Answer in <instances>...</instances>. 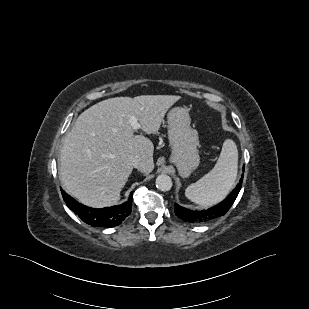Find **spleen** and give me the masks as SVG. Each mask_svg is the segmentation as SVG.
I'll use <instances>...</instances> for the list:
<instances>
[{
	"label": "spleen",
	"instance_id": "obj_1",
	"mask_svg": "<svg viewBox=\"0 0 309 309\" xmlns=\"http://www.w3.org/2000/svg\"><path fill=\"white\" fill-rule=\"evenodd\" d=\"M237 168V146L233 140L226 139L214 168L186 188V197L204 207L219 203L235 185Z\"/></svg>",
	"mask_w": 309,
	"mask_h": 309
}]
</instances>
